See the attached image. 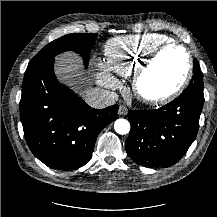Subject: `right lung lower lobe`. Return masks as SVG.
I'll list each match as a JSON object with an SVG mask.
<instances>
[{"label": "right lung lower lobe", "mask_w": 217, "mask_h": 217, "mask_svg": "<svg viewBox=\"0 0 217 217\" xmlns=\"http://www.w3.org/2000/svg\"><path fill=\"white\" fill-rule=\"evenodd\" d=\"M53 64L50 58L26 70L20 118L31 152L48 167L69 171L90 160L98 134L117 118L118 105L91 108L57 81Z\"/></svg>", "instance_id": "98d812e1"}]
</instances>
